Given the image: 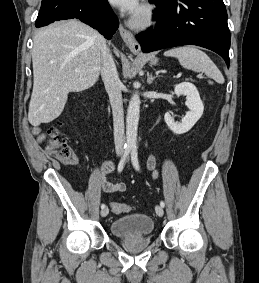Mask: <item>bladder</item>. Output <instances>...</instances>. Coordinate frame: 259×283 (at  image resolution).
Instances as JSON below:
<instances>
[{
    "mask_svg": "<svg viewBox=\"0 0 259 283\" xmlns=\"http://www.w3.org/2000/svg\"><path fill=\"white\" fill-rule=\"evenodd\" d=\"M152 219L144 214H133L115 220L110 227L114 236L121 238H137L148 236L153 232Z\"/></svg>",
    "mask_w": 259,
    "mask_h": 283,
    "instance_id": "obj_1",
    "label": "bladder"
}]
</instances>
